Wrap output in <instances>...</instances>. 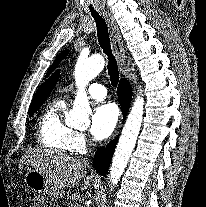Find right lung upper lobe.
<instances>
[{
	"label": "right lung upper lobe",
	"mask_w": 206,
	"mask_h": 207,
	"mask_svg": "<svg viewBox=\"0 0 206 207\" xmlns=\"http://www.w3.org/2000/svg\"><path fill=\"white\" fill-rule=\"evenodd\" d=\"M60 75V70H57L44 84H42L36 95L33 98V101L30 105V108L40 107L54 88Z\"/></svg>",
	"instance_id": "cb5924a9"
}]
</instances>
